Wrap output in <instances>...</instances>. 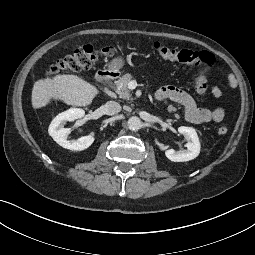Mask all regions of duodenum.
Segmentation results:
<instances>
[{"instance_id": "duodenum-1", "label": "duodenum", "mask_w": 255, "mask_h": 255, "mask_svg": "<svg viewBox=\"0 0 255 255\" xmlns=\"http://www.w3.org/2000/svg\"><path fill=\"white\" fill-rule=\"evenodd\" d=\"M117 76H118V73L116 71L102 68L97 71L96 80L98 82L104 83V82H108V81L116 79Z\"/></svg>"}]
</instances>
